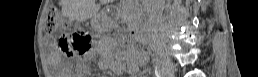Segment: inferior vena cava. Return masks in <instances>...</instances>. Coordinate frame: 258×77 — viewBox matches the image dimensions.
<instances>
[{
  "label": "inferior vena cava",
  "mask_w": 258,
  "mask_h": 77,
  "mask_svg": "<svg viewBox=\"0 0 258 77\" xmlns=\"http://www.w3.org/2000/svg\"><path fill=\"white\" fill-rule=\"evenodd\" d=\"M163 0H153V5L150 11V21L158 22L162 18Z\"/></svg>",
  "instance_id": "1"
}]
</instances>
